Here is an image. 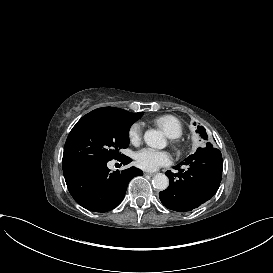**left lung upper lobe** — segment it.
Wrapping results in <instances>:
<instances>
[{"label": "left lung upper lobe", "instance_id": "1", "mask_svg": "<svg viewBox=\"0 0 273 273\" xmlns=\"http://www.w3.org/2000/svg\"><path fill=\"white\" fill-rule=\"evenodd\" d=\"M194 125H196V123H194ZM197 128H198L197 132L200 134V136L204 140H207V134H206L205 128L202 127V126H198ZM205 147L206 148H209V147L215 148V146L212 143H210V142H207Z\"/></svg>", "mask_w": 273, "mask_h": 273}]
</instances>
